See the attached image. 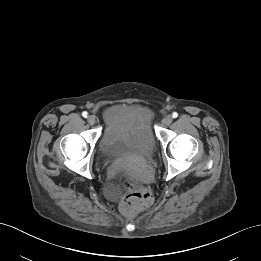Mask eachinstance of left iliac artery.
Masks as SVG:
<instances>
[{
  "instance_id": "left-iliac-artery-1",
  "label": "left iliac artery",
  "mask_w": 261,
  "mask_h": 261,
  "mask_svg": "<svg viewBox=\"0 0 261 261\" xmlns=\"http://www.w3.org/2000/svg\"><path fill=\"white\" fill-rule=\"evenodd\" d=\"M172 117H173V118H177V117H178V113H177V112H173V113H172Z\"/></svg>"
}]
</instances>
